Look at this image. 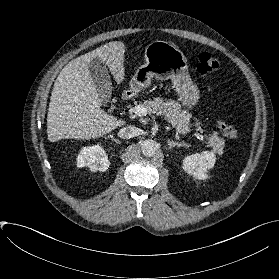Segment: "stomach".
Listing matches in <instances>:
<instances>
[{
    "label": "stomach",
    "mask_w": 279,
    "mask_h": 279,
    "mask_svg": "<svg viewBox=\"0 0 279 279\" xmlns=\"http://www.w3.org/2000/svg\"><path fill=\"white\" fill-rule=\"evenodd\" d=\"M145 64L140 66L132 77L131 84L136 89L146 87L151 78L172 82V89L178 101L189 109L200 98L197 85L190 78L188 62L184 53L173 44L156 40L145 48Z\"/></svg>",
    "instance_id": "0dacf381"
}]
</instances>
